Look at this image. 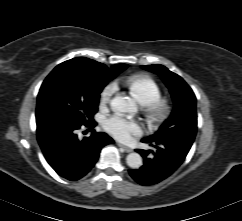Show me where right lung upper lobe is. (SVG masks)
<instances>
[{"label":"right lung upper lobe","instance_id":"right-lung-upper-lobe-1","mask_svg":"<svg viewBox=\"0 0 242 221\" xmlns=\"http://www.w3.org/2000/svg\"><path fill=\"white\" fill-rule=\"evenodd\" d=\"M120 65L121 64L113 65L109 69L106 65H104L102 63L96 62V61L88 59V58L80 57V58H73L71 60L65 61V62L59 64L58 66L59 67H68V68L80 70V71L104 68L105 70H107V72L109 74L117 75L118 73H120L122 71L119 69Z\"/></svg>","mask_w":242,"mask_h":221}]
</instances>
